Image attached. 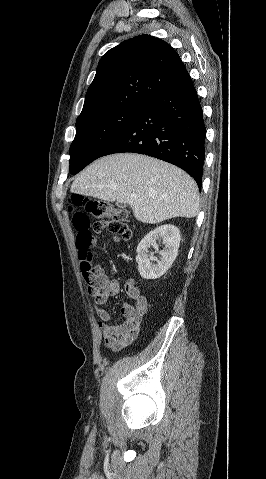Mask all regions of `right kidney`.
Listing matches in <instances>:
<instances>
[{"label":"right kidney","instance_id":"1","mask_svg":"<svg viewBox=\"0 0 266 479\" xmlns=\"http://www.w3.org/2000/svg\"><path fill=\"white\" fill-rule=\"evenodd\" d=\"M162 239L165 245L164 250L160 251L161 258L157 260L153 254H148V249L153 246L159 251L156 240ZM181 236L179 229L172 224H165L150 231L137 246L136 262L138 263V272L141 277L149 279L160 278L171 267L178 255V248ZM152 261H156L154 264Z\"/></svg>","mask_w":266,"mask_h":479}]
</instances>
